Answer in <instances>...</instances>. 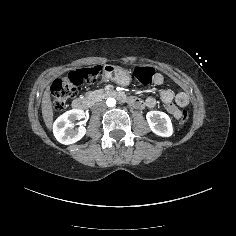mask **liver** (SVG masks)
Listing matches in <instances>:
<instances>
[{
  "instance_id": "liver-1",
  "label": "liver",
  "mask_w": 236,
  "mask_h": 236,
  "mask_svg": "<svg viewBox=\"0 0 236 236\" xmlns=\"http://www.w3.org/2000/svg\"><path fill=\"white\" fill-rule=\"evenodd\" d=\"M50 87L47 86L43 98H42V116L44 119V122L46 124V127L51 130L53 125V109H52V103L50 98Z\"/></svg>"
}]
</instances>
